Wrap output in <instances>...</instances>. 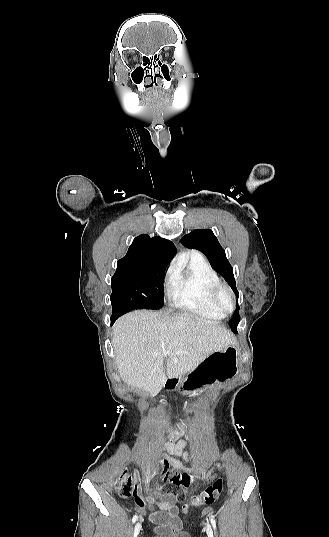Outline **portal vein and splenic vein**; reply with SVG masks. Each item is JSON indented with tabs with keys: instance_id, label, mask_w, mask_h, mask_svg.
Here are the masks:
<instances>
[{
	"instance_id": "portal-vein-and-splenic-vein-1",
	"label": "portal vein and splenic vein",
	"mask_w": 329,
	"mask_h": 537,
	"mask_svg": "<svg viewBox=\"0 0 329 537\" xmlns=\"http://www.w3.org/2000/svg\"><path fill=\"white\" fill-rule=\"evenodd\" d=\"M163 354H164V355H167V354H168V351H165Z\"/></svg>"
}]
</instances>
